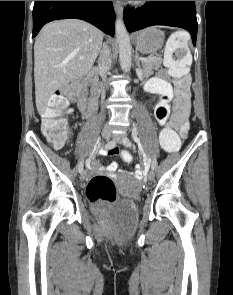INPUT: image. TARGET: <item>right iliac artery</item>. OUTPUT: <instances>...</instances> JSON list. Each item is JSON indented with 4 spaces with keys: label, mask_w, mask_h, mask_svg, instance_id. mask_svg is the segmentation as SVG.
<instances>
[{
    "label": "right iliac artery",
    "mask_w": 233,
    "mask_h": 295,
    "mask_svg": "<svg viewBox=\"0 0 233 295\" xmlns=\"http://www.w3.org/2000/svg\"><path fill=\"white\" fill-rule=\"evenodd\" d=\"M114 145H115V142L111 141V142H108L105 147L109 148V147H112ZM78 170H79L80 173L83 172V162L82 161L79 163Z\"/></svg>",
    "instance_id": "1"
}]
</instances>
